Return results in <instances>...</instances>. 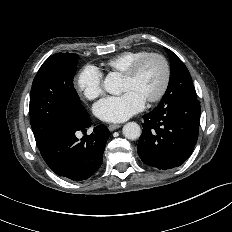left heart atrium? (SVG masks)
<instances>
[{
    "instance_id": "1",
    "label": "left heart atrium",
    "mask_w": 232,
    "mask_h": 232,
    "mask_svg": "<svg viewBox=\"0 0 232 232\" xmlns=\"http://www.w3.org/2000/svg\"><path fill=\"white\" fill-rule=\"evenodd\" d=\"M145 99L134 90H128L119 96L101 99L94 106L96 116L105 122H123L140 112Z\"/></svg>"
}]
</instances>
